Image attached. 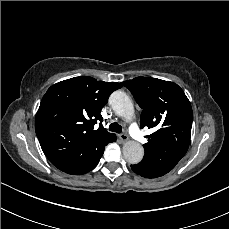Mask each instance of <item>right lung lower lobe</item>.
<instances>
[{
  "mask_svg": "<svg viewBox=\"0 0 229 229\" xmlns=\"http://www.w3.org/2000/svg\"><path fill=\"white\" fill-rule=\"evenodd\" d=\"M114 141H116V138L113 139L111 142H114ZM109 143H110V142H109ZM104 148H105V147H103V148L99 151V153L97 154V156L95 157V159H94L85 169H83V170H82L80 173H78V174H84V173H87V172H89L90 170H92V169L98 164L100 158L102 157V154H103V152H104Z\"/></svg>",
  "mask_w": 229,
  "mask_h": 229,
  "instance_id": "98d812e1",
  "label": "right lung lower lobe"
}]
</instances>
